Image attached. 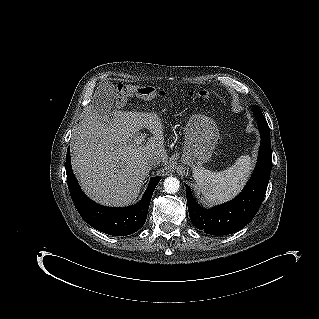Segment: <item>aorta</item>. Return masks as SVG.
I'll list each match as a JSON object with an SVG mask.
<instances>
[{
	"label": "aorta",
	"instance_id": "1",
	"mask_svg": "<svg viewBox=\"0 0 319 319\" xmlns=\"http://www.w3.org/2000/svg\"><path fill=\"white\" fill-rule=\"evenodd\" d=\"M179 186V180L175 177L170 176L164 180V189L169 194H174L178 192Z\"/></svg>",
	"mask_w": 319,
	"mask_h": 319
}]
</instances>
